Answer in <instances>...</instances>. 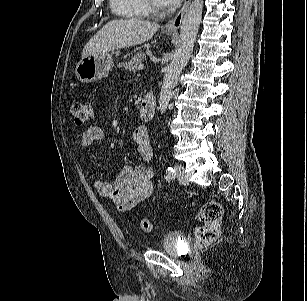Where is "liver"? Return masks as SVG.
<instances>
[{
	"label": "liver",
	"instance_id": "obj_1",
	"mask_svg": "<svg viewBox=\"0 0 307 301\" xmlns=\"http://www.w3.org/2000/svg\"><path fill=\"white\" fill-rule=\"evenodd\" d=\"M160 28L157 23L142 19H116L102 27L85 45L82 59L144 43Z\"/></svg>",
	"mask_w": 307,
	"mask_h": 301
}]
</instances>
